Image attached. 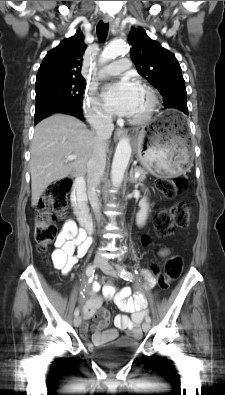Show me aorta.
<instances>
[{
	"label": "aorta",
	"mask_w": 225,
	"mask_h": 395,
	"mask_svg": "<svg viewBox=\"0 0 225 395\" xmlns=\"http://www.w3.org/2000/svg\"><path fill=\"white\" fill-rule=\"evenodd\" d=\"M127 51L128 46L124 41L111 42L103 50L100 61L102 63L108 62ZM131 152L129 139L122 138L117 144L111 167V181L115 187H119L122 184Z\"/></svg>",
	"instance_id": "obj_1"
}]
</instances>
